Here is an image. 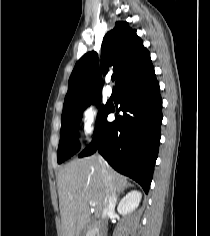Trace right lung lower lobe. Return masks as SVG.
I'll list each match as a JSON object with an SVG mask.
<instances>
[{
	"instance_id": "1",
	"label": "right lung lower lobe",
	"mask_w": 210,
	"mask_h": 236,
	"mask_svg": "<svg viewBox=\"0 0 210 236\" xmlns=\"http://www.w3.org/2000/svg\"><path fill=\"white\" fill-rule=\"evenodd\" d=\"M122 115L107 121L109 107L92 143L79 157L97 150L118 172L137 181L147 193L160 143L162 99L152 62L117 85Z\"/></svg>"
}]
</instances>
